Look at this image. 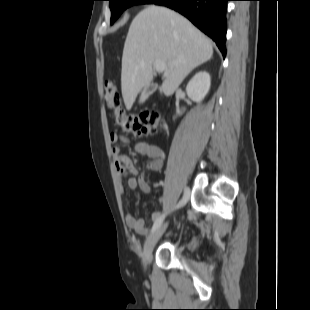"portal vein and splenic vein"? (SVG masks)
<instances>
[{
	"mask_svg": "<svg viewBox=\"0 0 310 310\" xmlns=\"http://www.w3.org/2000/svg\"><path fill=\"white\" fill-rule=\"evenodd\" d=\"M154 69L158 72V73H162L166 71V65L164 62L162 61H157L153 64Z\"/></svg>",
	"mask_w": 310,
	"mask_h": 310,
	"instance_id": "1",
	"label": "portal vein and splenic vein"
}]
</instances>
